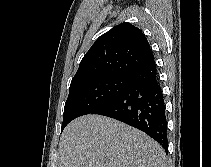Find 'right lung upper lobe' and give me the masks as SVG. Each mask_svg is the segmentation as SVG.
Instances as JSON below:
<instances>
[{
    "mask_svg": "<svg viewBox=\"0 0 211 167\" xmlns=\"http://www.w3.org/2000/svg\"><path fill=\"white\" fill-rule=\"evenodd\" d=\"M153 63L154 56L145 35L124 22L95 41L81 60L70 88L102 77H128Z\"/></svg>",
    "mask_w": 211,
    "mask_h": 167,
    "instance_id": "right-lung-upper-lobe-1",
    "label": "right lung upper lobe"
}]
</instances>
